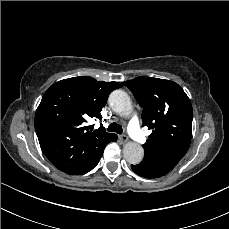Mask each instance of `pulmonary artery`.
I'll use <instances>...</instances> for the list:
<instances>
[{
	"label": "pulmonary artery",
	"mask_w": 229,
	"mask_h": 229,
	"mask_svg": "<svg viewBox=\"0 0 229 229\" xmlns=\"http://www.w3.org/2000/svg\"><path fill=\"white\" fill-rule=\"evenodd\" d=\"M130 112L132 117L130 120H128L127 130L137 141L142 142L145 140L146 135L141 129V124L137 113L135 111Z\"/></svg>",
	"instance_id": "obj_1"
}]
</instances>
